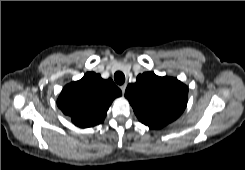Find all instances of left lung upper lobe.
Returning <instances> with one entry per match:
<instances>
[{"label": "left lung upper lobe", "instance_id": "5c2ea615", "mask_svg": "<svg viewBox=\"0 0 245 170\" xmlns=\"http://www.w3.org/2000/svg\"><path fill=\"white\" fill-rule=\"evenodd\" d=\"M125 97L140 122L151 129H160L184 111L188 87L176 78L159 77L153 72H146L127 86Z\"/></svg>", "mask_w": 245, "mask_h": 170}]
</instances>
